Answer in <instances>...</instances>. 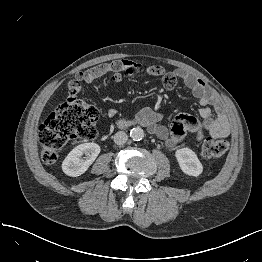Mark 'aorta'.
Wrapping results in <instances>:
<instances>
[{
    "instance_id": "obj_1",
    "label": "aorta",
    "mask_w": 262,
    "mask_h": 262,
    "mask_svg": "<svg viewBox=\"0 0 262 262\" xmlns=\"http://www.w3.org/2000/svg\"><path fill=\"white\" fill-rule=\"evenodd\" d=\"M130 137L134 141H140L144 138V131L140 127H136L130 130Z\"/></svg>"
}]
</instances>
